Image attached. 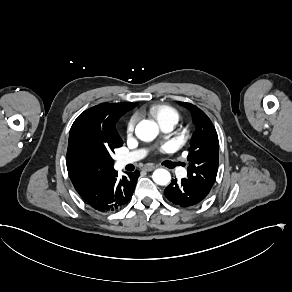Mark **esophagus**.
I'll return each mask as SVG.
<instances>
[{"mask_svg":"<svg viewBox=\"0 0 292 292\" xmlns=\"http://www.w3.org/2000/svg\"><path fill=\"white\" fill-rule=\"evenodd\" d=\"M143 169H144L145 171L149 172V171L154 170V169H155V166H152V165H145V166L143 167Z\"/></svg>","mask_w":292,"mask_h":292,"instance_id":"obj_1","label":"esophagus"}]
</instances>
